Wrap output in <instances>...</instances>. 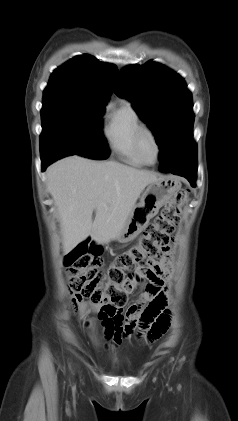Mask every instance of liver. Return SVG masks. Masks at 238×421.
Masks as SVG:
<instances>
[{"mask_svg": "<svg viewBox=\"0 0 238 421\" xmlns=\"http://www.w3.org/2000/svg\"><path fill=\"white\" fill-rule=\"evenodd\" d=\"M46 177L58 209L65 252L90 235L99 244L116 238L145 187L162 178L118 162L80 156L52 164Z\"/></svg>", "mask_w": 238, "mask_h": 421, "instance_id": "1", "label": "liver"}]
</instances>
